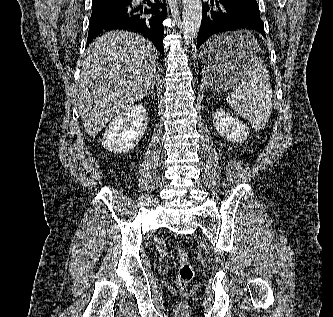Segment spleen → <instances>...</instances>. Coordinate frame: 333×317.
Here are the masks:
<instances>
[{
	"label": "spleen",
	"mask_w": 333,
	"mask_h": 317,
	"mask_svg": "<svg viewBox=\"0 0 333 317\" xmlns=\"http://www.w3.org/2000/svg\"><path fill=\"white\" fill-rule=\"evenodd\" d=\"M227 35L226 44L231 47L238 46L242 51L247 50L246 46L250 44L256 48V41L249 31L242 30ZM227 102L254 129L259 130L266 125L273 105L272 88L266 66L258 58L253 59L251 69L235 84L233 91L228 94Z\"/></svg>",
	"instance_id": "1"
}]
</instances>
